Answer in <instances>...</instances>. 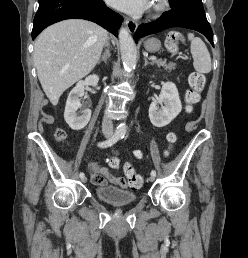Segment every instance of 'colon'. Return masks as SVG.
<instances>
[{
    "label": "colon",
    "mask_w": 248,
    "mask_h": 258,
    "mask_svg": "<svg viewBox=\"0 0 248 258\" xmlns=\"http://www.w3.org/2000/svg\"><path fill=\"white\" fill-rule=\"evenodd\" d=\"M179 42L180 37L177 33L171 34L167 41L166 46L172 53H177L179 51ZM189 87L185 93V109L188 113H191L194 106L200 101L201 93L205 86V77L200 72H192L188 78ZM56 137L59 140H63L66 137V131L62 128L57 129ZM175 135L170 133L168 135V142L170 144L174 143ZM114 150H119V145L113 146ZM170 148L167 150L166 154L169 153ZM107 162L112 170H119L120 169V159L116 152L112 155L108 156ZM121 167L125 168V173L130 181V184L134 188H139L143 184L144 177L139 175L135 172L134 168V161L132 158H126L125 161L121 162Z\"/></svg>",
    "instance_id": "1"
}]
</instances>
